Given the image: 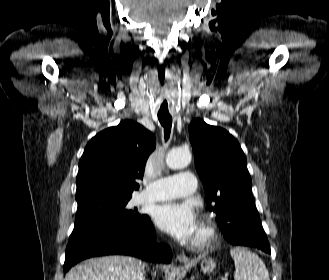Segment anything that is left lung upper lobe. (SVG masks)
Returning <instances> with one entry per match:
<instances>
[{
	"label": "left lung upper lobe",
	"mask_w": 329,
	"mask_h": 280,
	"mask_svg": "<svg viewBox=\"0 0 329 280\" xmlns=\"http://www.w3.org/2000/svg\"><path fill=\"white\" fill-rule=\"evenodd\" d=\"M189 133L207 209L217 214L222 229L245 205L253 202L246 157L238 141L223 128L194 119Z\"/></svg>",
	"instance_id": "5c2ea615"
}]
</instances>
